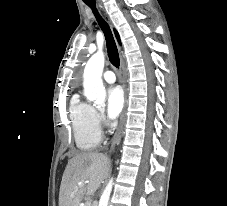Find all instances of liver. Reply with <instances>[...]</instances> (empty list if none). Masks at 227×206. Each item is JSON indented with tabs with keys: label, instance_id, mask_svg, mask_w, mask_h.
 <instances>
[{
	"label": "liver",
	"instance_id": "6515ba94",
	"mask_svg": "<svg viewBox=\"0 0 227 206\" xmlns=\"http://www.w3.org/2000/svg\"><path fill=\"white\" fill-rule=\"evenodd\" d=\"M110 160L97 152L75 155L68 161L64 171L59 206H79L81 199L93 195L107 176Z\"/></svg>",
	"mask_w": 227,
	"mask_h": 206
}]
</instances>
